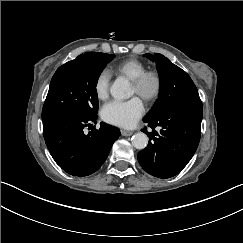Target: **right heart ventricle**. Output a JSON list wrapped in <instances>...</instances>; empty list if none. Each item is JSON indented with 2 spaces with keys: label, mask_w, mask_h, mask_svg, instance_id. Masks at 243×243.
<instances>
[{
  "label": "right heart ventricle",
  "mask_w": 243,
  "mask_h": 243,
  "mask_svg": "<svg viewBox=\"0 0 243 243\" xmlns=\"http://www.w3.org/2000/svg\"><path fill=\"white\" fill-rule=\"evenodd\" d=\"M112 69L115 73L126 76L130 80H134L145 69H147V66L141 60L135 58H129L118 63Z\"/></svg>",
  "instance_id": "1"
}]
</instances>
